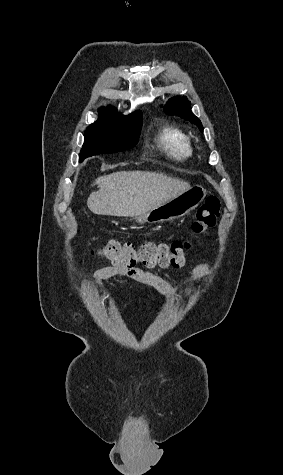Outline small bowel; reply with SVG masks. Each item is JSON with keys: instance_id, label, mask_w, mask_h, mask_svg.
<instances>
[{"instance_id": "c3829d8e", "label": "small bowel", "mask_w": 283, "mask_h": 475, "mask_svg": "<svg viewBox=\"0 0 283 475\" xmlns=\"http://www.w3.org/2000/svg\"><path fill=\"white\" fill-rule=\"evenodd\" d=\"M210 273L211 268L208 264H198L193 270V281L186 288L179 290L160 275L136 266L114 262L112 265L99 268L94 272V289L100 290L106 279L125 276L155 288L166 298V303L170 306L176 297L187 298L194 293Z\"/></svg>"}]
</instances>
